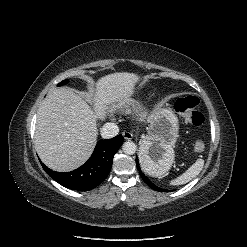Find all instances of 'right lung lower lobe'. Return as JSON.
<instances>
[{"label":"right lung lower lobe","mask_w":247,"mask_h":247,"mask_svg":"<svg viewBox=\"0 0 247 247\" xmlns=\"http://www.w3.org/2000/svg\"><path fill=\"white\" fill-rule=\"evenodd\" d=\"M123 141L124 138L121 135L99 141L88 161L68 173L54 172L43 163L41 164L46 173L62 186L72 190L88 191L98 186L108 176L113 157Z\"/></svg>","instance_id":"1"}]
</instances>
